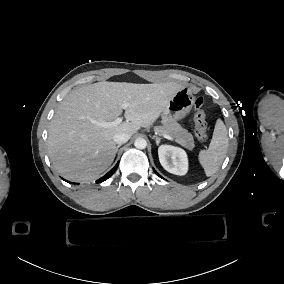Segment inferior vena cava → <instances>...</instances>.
<instances>
[{"instance_id": "inferior-vena-cava-1", "label": "inferior vena cava", "mask_w": 284, "mask_h": 284, "mask_svg": "<svg viewBox=\"0 0 284 284\" xmlns=\"http://www.w3.org/2000/svg\"><path fill=\"white\" fill-rule=\"evenodd\" d=\"M117 144H124L130 139V135L125 132H118L113 137Z\"/></svg>"}]
</instances>
